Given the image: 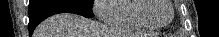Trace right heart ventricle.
I'll use <instances>...</instances> for the list:
<instances>
[{
	"instance_id": "right-heart-ventricle-1",
	"label": "right heart ventricle",
	"mask_w": 219,
	"mask_h": 37,
	"mask_svg": "<svg viewBox=\"0 0 219 37\" xmlns=\"http://www.w3.org/2000/svg\"><path fill=\"white\" fill-rule=\"evenodd\" d=\"M140 0H120L116 6V19L113 26L122 29L153 31L156 28L147 25L138 16Z\"/></svg>"
}]
</instances>
